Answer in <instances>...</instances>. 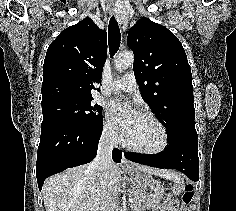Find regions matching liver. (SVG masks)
<instances>
[{"label": "liver", "mask_w": 236, "mask_h": 211, "mask_svg": "<svg viewBox=\"0 0 236 211\" xmlns=\"http://www.w3.org/2000/svg\"><path fill=\"white\" fill-rule=\"evenodd\" d=\"M89 165L69 168L44 182L42 192L46 211H100L103 204H109L122 180L120 166L112 162L107 174L100 178ZM137 168L149 175L170 180L177 178L169 170L143 165H137Z\"/></svg>", "instance_id": "6515ba94"}]
</instances>
